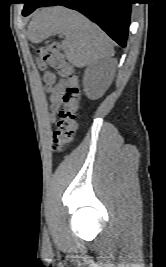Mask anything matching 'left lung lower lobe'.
<instances>
[{
    "mask_svg": "<svg viewBox=\"0 0 166 267\" xmlns=\"http://www.w3.org/2000/svg\"><path fill=\"white\" fill-rule=\"evenodd\" d=\"M24 3V16L53 4L77 10L97 23L119 45L126 46L133 0H25Z\"/></svg>",
    "mask_w": 166,
    "mask_h": 267,
    "instance_id": "left-lung-lower-lobe-1",
    "label": "left lung lower lobe"
}]
</instances>
